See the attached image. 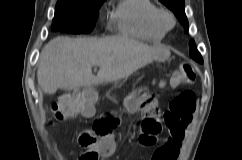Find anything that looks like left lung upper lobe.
<instances>
[{
  "mask_svg": "<svg viewBox=\"0 0 242 160\" xmlns=\"http://www.w3.org/2000/svg\"><path fill=\"white\" fill-rule=\"evenodd\" d=\"M162 2L165 6H167L170 10L173 11V13L176 15L179 22L184 27V31H188V21L185 15L184 7L185 2L184 0H159ZM189 50H190V56L196 60L199 63H203V59L199 51L197 50L195 43L193 40L189 43Z\"/></svg>",
  "mask_w": 242,
  "mask_h": 160,
  "instance_id": "5c2ea615",
  "label": "left lung upper lobe"
}]
</instances>
